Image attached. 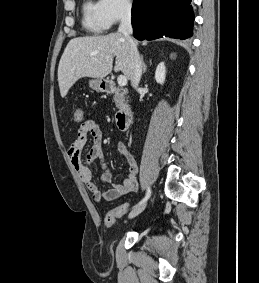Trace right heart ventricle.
Here are the masks:
<instances>
[{
    "label": "right heart ventricle",
    "mask_w": 259,
    "mask_h": 283,
    "mask_svg": "<svg viewBox=\"0 0 259 283\" xmlns=\"http://www.w3.org/2000/svg\"><path fill=\"white\" fill-rule=\"evenodd\" d=\"M83 24L95 34H103L109 29V24L104 18L100 4L94 0H87L83 6Z\"/></svg>",
    "instance_id": "obj_1"
}]
</instances>
